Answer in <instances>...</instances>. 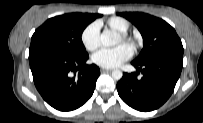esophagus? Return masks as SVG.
<instances>
[{
    "instance_id": "1",
    "label": "esophagus",
    "mask_w": 203,
    "mask_h": 123,
    "mask_svg": "<svg viewBox=\"0 0 203 123\" xmlns=\"http://www.w3.org/2000/svg\"><path fill=\"white\" fill-rule=\"evenodd\" d=\"M112 69L101 68L102 73L110 72Z\"/></svg>"
}]
</instances>
